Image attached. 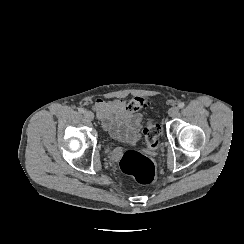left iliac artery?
Listing matches in <instances>:
<instances>
[{
  "label": "left iliac artery",
  "instance_id": "1",
  "mask_svg": "<svg viewBox=\"0 0 244 244\" xmlns=\"http://www.w3.org/2000/svg\"><path fill=\"white\" fill-rule=\"evenodd\" d=\"M184 106H185L184 102H180V103H178V107H179V108H184Z\"/></svg>",
  "mask_w": 244,
  "mask_h": 244
}]
</instances>
